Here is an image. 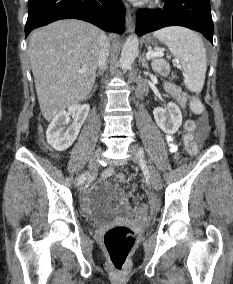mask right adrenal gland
<instances>
[{"label":"right adrenal gland","mask_w":233,"mask_h":284,"mask_svg":"<svg viewBox=\"0 0 233 284\" xmlns=\"http://www.w3.org/2000/svg\"><path fill=\"white\" fill-rule=\"evenodd\" d=\"M103 74V71H99L98 73H97V76H99V75H102Z\"/></svg>","instance_id":"obj_1"}]
</instances>
